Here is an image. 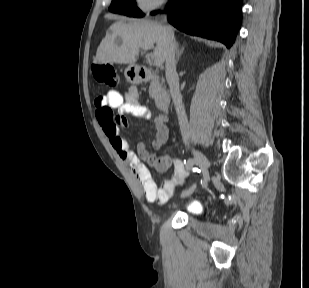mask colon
Segmentation results:
<instances>
[{
  "label": "colon",
  "mask_w": 309,
  "mask_h": 288,
  "mask_svg": "<svg viewBox=\"0 0 309 288\" xmlns=\"http://www.w3.org/2000/svg\"><path fill=\"white\" fill-rule=\"evenodd\" d=\"M95 79L98 83L103 84L107 87H115L118 83V77L115 69L104 63H98L94 66ZM118 124L125 125L127 123L124 115H118L116 117Z\"/></svg>",
  "instance_id": "colon-1"
}]
</instances>
